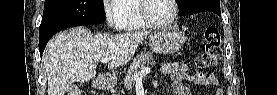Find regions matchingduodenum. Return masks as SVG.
<instances>
[{
    "label": "duodenum",
    "mask_w": 277,
    "mask_h": 95,
    "mask_svg": "<svg viewBox=\"0 0 277 95\" xmlns=\"http://www.w3.org/2000/svg\"><path fill=\"white\" fill-rule=\"evenodd\" d=\"M97 87L98 88H104L105 87V83H104V78L103 77L97 78Z\"/></svg>",
    "instance_id": "1"
}]
</instances>
